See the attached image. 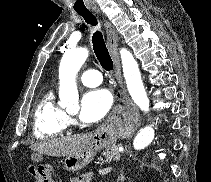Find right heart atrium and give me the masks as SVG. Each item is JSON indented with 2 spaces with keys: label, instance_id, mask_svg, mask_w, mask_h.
I'll list each match as a JSON object with an SVG mask.
<instances>
[{
  "label": "right heart atrium",
  "instance_id": "right-heart-atrium-1",
  "mask_svg": "<svg viewBox=\"0 0 211 182\" xmlns=\"http://www.w3.org/2000/svg\"><path fill=\"white\" fill-rule=\"evenodd\" d=\"M69 122H73V119L70 118V119H69Z\"/></svg>",
  "mask_w": 211,
  "mask_h": 182
}]
</instances>
